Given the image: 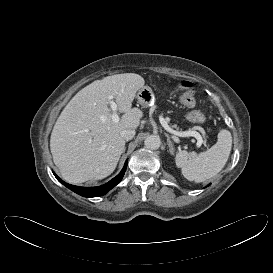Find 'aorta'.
Wrapping results in <instances>:
<instances>
[{"instance_id":"obj_1","label":"aorta","mask_w":273,"mask_h":273,"mask_svg":"<svg viewBox=\"0 0 273 273\" xmlns=\"http://www.w3.org/2000/svg\"><path fill=\"white\" fill-rule=\"evenodd\" d=\"M144 145L148 149L156 150L161 145V139L157 135H150L145 139Z\"/></svg>"}]
</instances>
